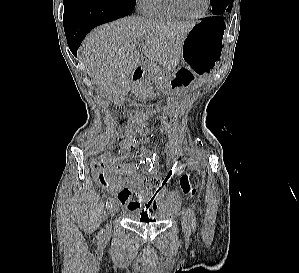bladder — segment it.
<instances>
[{"instance_id": "1", "label": "bladder", "mask_w": 299, "mask_h": 273, "mask_svg": "<svg viewBox=\"0 0 299 273\" xmlns=\"http://www.w3.org/2000/svg\"><path fill=\"white\" fill-rule=\"evenodd\" d=\"M169 212H170L169 210H158V211L154 212L153 219L151 221H146V222L140 220L138 215L136 213H132V212H127L125 214V217L133 222L140 221V222H143L146 224H160V223H164L165 221L168 220Z\"/></svg>"}]
</instances>
